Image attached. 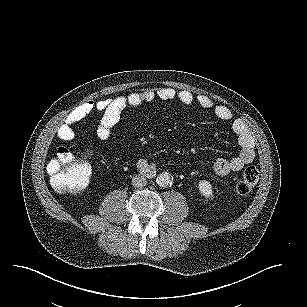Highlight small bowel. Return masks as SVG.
I'll use <instances>...</instances> for the list:
<instances>
[{"mask_svg":"<svg viewBox=\"0 0 307 307\" xmlns=\"http://www.w3.org/2000/svg\"><path fill=\"white\" fill-rule=\"evenodd\" d=\"M171 101L179 100L184 105L198 104L201 108L210 110L220 120L232 121V131L237 136L240 152L230 158H217L212 164V169L219 176L227 175L230 172L240 171L245 165L251 163L255 158V142L245 123L240 119H233V113L225 105L215 104L209 97L194 95L186 90L177 91L172 88H160L158 90H147L131 93L126 96H119L113 99L100 101H87L74 108L65 118L64 123L58 130V138L70 142L75 138L73 126L83 120L93 111L102 113L101 121L97 128V136L101 140H108L120 119L122 111L128 107H137L154 100ZM93 149L87 148L84 158L90 159ZM143 164V163H141Z\"/></svg>","mask_w":307,"mask_h":307,"instance_id":"c3829d8e","label":"small bowel"}]
</instances>
